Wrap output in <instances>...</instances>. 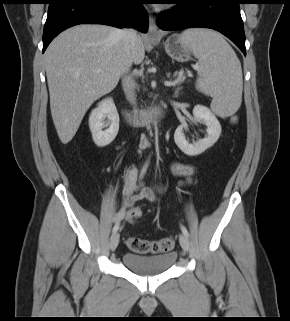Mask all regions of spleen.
I'll return each mask as SVG.
<instances>
[{
  "label": "spleen",
  "instance_id": "3e777b00",
  "mask_svg": "<svg viewBox=\"0 0 290 321\" xmlns=\"http://www.w3.org/2000/svg\"><path fill=\"white\" fill-rule=\"evenodd\" d=\"M199 60L196 87L213 98L212 111L220 117L233 115L242 101L241 63L232 47L217 32L188 29L180 35Z\"/></svg>",
  "mask_w": 290,
  "mask_h": 321
}]
</instances>
